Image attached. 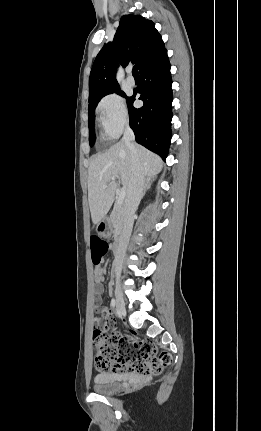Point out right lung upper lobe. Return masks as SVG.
Returning <instances> with one entry per match:
<instances>
[{
	"label": "right lung upper lobe",
	"mask_w": 261,
	"mask_h": 431,
	"mask_svg": "<svg viewBox=\"0 0 261 431\" xmlns=\"http://www.w3.org/2000/svg\"><path fill=\"white\" fill-rule=\"evenodd\" d=\"M165 49L161 35L151 20L140 15H124L113 42L104 45L97 55L89 77V98L119 86L116 80L118 62L129 61L140 70Z\"/></svg>",
	"instance_id": "cb5924a9"
}]
</instances>
